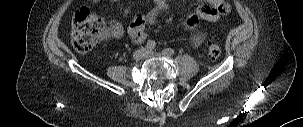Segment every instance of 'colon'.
Here are the masks:
<instances>
[{"instance_id":"1","label":"colon","mask_w":303,"mask_h":127,"mask_svg":"<svg viewBox=\"0 0 303 127\" xmlns=\"http://www.w3.org/2000/svg\"><path fill=\"white\" fill-rule=\"evenodd\" d=\"M104 35L105 25L100 18L84 9L75 14L72 25V39L78 52L86 53L90 51L103 39ZM207 52L212 59H218L221 56L220 47L213 42L208 44Z\"/></svg>"}]
</instances>
